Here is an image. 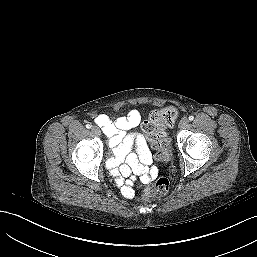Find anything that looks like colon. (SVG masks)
<instances>
[{
  "label": "colon",
  "instance_id": "obj_1",
  "mask_svg": "<svg viewBox=\"0 0 257 257\" xmlns=\"http://www.w3.org/2000/svg\"><path fill=\"white\" fill-rule=\"evenodd\" d=\"M178 111L174 106H168L154 110L143 124V130L150 140L159 158H165L166 147L169 143L165 129L171 126L177 118ZM169 181L166 178H158L154 182H146L142 188V200H148L155 196L164 195L169 190Z\"/></svg>",
  "mask_w": 257,
  "mask_h": 257
}]
</instances>
